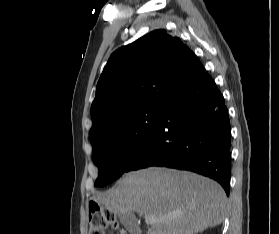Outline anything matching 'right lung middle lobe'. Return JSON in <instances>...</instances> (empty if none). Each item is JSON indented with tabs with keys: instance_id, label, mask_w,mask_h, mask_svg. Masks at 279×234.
Listing matches in <instances>:
<instances>
[{
	"instance_id": "dd1d6c3e",
	"label": "right lung middle lobe",
	"mask_w": 279,
	"mask_h": 234,
	"mask_svg": "<svg viewBox=\"0 0 279 234\" xmlns=\"http://www.w3.org/2000/svg\"><path fill=\"white\" fill-rule=\"evenodd\" d=\"M162 107L142 109L116 119L92 141V158L98 167L96 187L120 177L143 149L155 129Z\"/></svg>"
}]
</instances>
